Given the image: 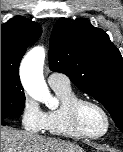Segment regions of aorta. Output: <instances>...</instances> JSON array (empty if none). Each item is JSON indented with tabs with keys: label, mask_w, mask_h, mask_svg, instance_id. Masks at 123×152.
Segmentation results:
<instances>
[{
	"label": "aorta",
	"mask_w": 123,
	"mask_h": 152,
	"mask_svg": "<svg viewBox=\"0 0 123 152\" xmlns=\"http://www.w3.org/2000/svg\"><path fill=\"white\" fill-rule=\"evenodd\" d=\"M45 49L36 46L23 58L21 63V79L25 91L33 99L45 104L48 108L54 105V99L49 93L43 77Z\"/></svg>",
	"instance_id": "aorta-1"
}]
</instances>
